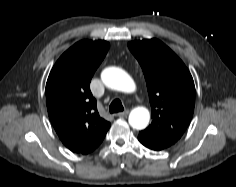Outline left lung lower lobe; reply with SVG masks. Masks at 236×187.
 Returning a JSON list of instances; mask_svg holds the SVG:
<instances>
[{"mask_svg": "<svg viewBox=\"0 0 236 187\" xmlns=\"http://www.w3.org/2000/svg\"><path fill=\"white\" fill-rule=\"evenodd\" d=\"M138 140L147 148L149 149H153V150H162L164 148H167L170 146V144L158 141L156 139L147 137V136H143V135H138Z\"/></svg>", "mask_w": 236, "mask_h": 187, "instance_id": "1", "label": "left lung lower lobe"}]
</instances>
